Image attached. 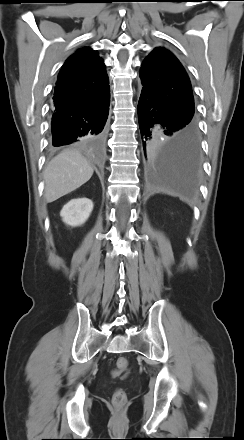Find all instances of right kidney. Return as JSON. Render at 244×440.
<instances>
[{
  "mask_svg": "<svg viewBox=\"0 0 244 440\" xmlns=\"http://www.w3.org/2000/svg\"><path fill=\"white\" fill-rule=\"evenodd\" d=\"M93 210V202L88 198H77L65 204L60 212L63 222L76 227L84 224Z\"/></svg>",
  "mask_w": 244,
  "mask_h": 440,
  "instance_id": "right-kidney-1",
  "label": "right kidney"
}]
</instances>
